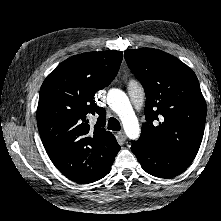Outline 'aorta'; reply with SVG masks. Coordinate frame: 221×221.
<instances>
[{"label":"aorta","instance_id":"aorta-1","mask_svg":"<svg viewBox=\"0 0 221 221\" xmlns=\"http://www.w3.org/2000/svg\"><path fill=\"white\" fill-rule=\"evenodd\" d=\"M107 104L119 116L127 137L136 140L140 136V127L127 95L120 89H110Z\"/></svg>","mask_w":221,"mask_h":221}]
</instances>
